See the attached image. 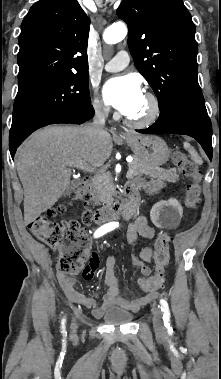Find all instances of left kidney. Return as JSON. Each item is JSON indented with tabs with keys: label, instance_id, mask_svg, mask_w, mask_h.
<instances>
[{
	"label": "left kidney",
	"instance_id": "5707ae66",
	"mask_svg": "<svg viewBox=\"0 0 221 379\" xmlns=\"http://www.w3.org/2000/svg\"><path fill=\"white\" fill-rule=\"evenodd\" d=\"M183 208L176 199L160 201L154 204L150 217L155 226L159 228H175L182 218Z\"/></svg>",
	"mask_w": 221,
	"mask_h": 379
}]
</instances>
